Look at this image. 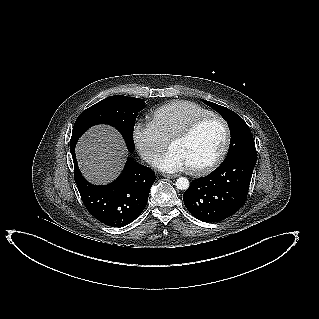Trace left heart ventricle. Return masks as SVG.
Instances as JSON below:
<instances>
[{
  "mask_svg": "<svg viewBox=\"0 0 319 319\" xmlns=\"http://www.w3.org/2000/svg\"><path fill=\"white\" fill-rule=\"evenodd\" d=\"M224 138L222 125L210 120L200 125L190 137L173 143L170 148L182 156L187 168H196L210 163L217 156Z\"/></svg>",
  "mask_w": 319,
  "mask_h": 319,
  "instance_id": "b2bd125f",
  "label": "left heart ventricle"
}]
</instances>
